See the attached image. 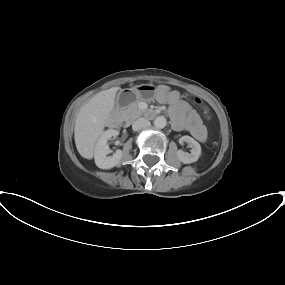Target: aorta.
<instances>
[{
	"label": "aorta",
	"instance_id": "obj_1",
	"mask_svg": "<svg viewBox=\"0 0 285 285\" xmlns=\"http://www.w3.org/2000/svg\"><path fill=\"white\" fill-rule=\"evenodd\" d=\"M166 118L164 116H158L157 118H155L154 120V126L158 129H162L166 126Z\"/></svg>",
	"mask_w": 285,
	"mask_h": 285
}]
</instances>
